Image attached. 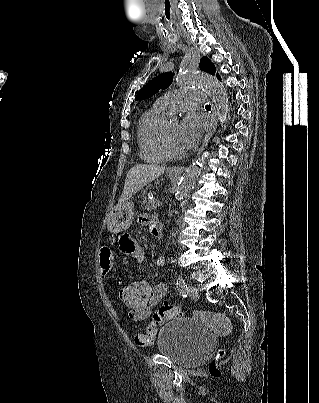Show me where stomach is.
<instances>
[{"label": "stomach", "mask_w": 319, "mask_h": 403, "mask_svg": "<svg viewBox=\"0 0 319 403\" xmlns=\"http://www.w3.org/2000/svg\"><path fill=\"white\" fill-rule=\"evenodd\" d=\"M171 178L175 176L169 175ZM134 204L126 202L116 206L110 213L107 220V228L112 233H119L126 230L134 219Z\"/></svg>", "instance_id": "obj_1"}]
</instances>
